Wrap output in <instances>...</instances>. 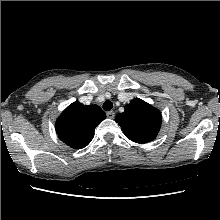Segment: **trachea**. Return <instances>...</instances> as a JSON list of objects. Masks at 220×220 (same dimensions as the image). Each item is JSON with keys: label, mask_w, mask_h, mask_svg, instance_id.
I'll return each mask as SVG.
<instances>
[{"label": "trachea", "mask_w": 220, "mask_h": 220, "mask_svg": "<svg viewBox=\"0 0 220 220\" xmlns=\"http://www.w3.org/2000/svg\"><path fill=\"white\" fill-rule=\"evenodd\" d=\"M113 108V103L111 101H105L103 103V109L105 111H110Z\"/></svg>", "instance_id": "3493384b"}]
</instances>
